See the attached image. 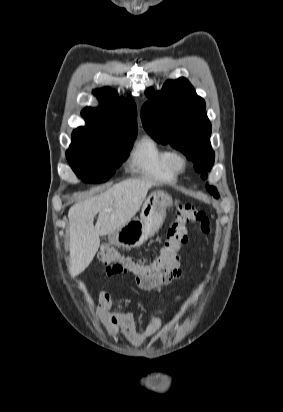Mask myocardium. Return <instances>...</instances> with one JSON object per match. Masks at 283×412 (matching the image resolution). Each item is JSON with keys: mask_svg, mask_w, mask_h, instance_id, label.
Wrapping results in <instances>:
<instances>
[{"mask_svg": "<svg viewBox=\"0 0 283 412\" xmlns=\"http://www.w3.org/2000/svg\"><path fill=\"white\" fill-rule=\"evenodd\" d=\"M188 160L180 151H170L168 155V167L174 174H180L187 168Z\"/></svg>", "mask_w": 283, "mask_h": 412, "instance_id": "1", "label": "myocardium"}]
</instances>
